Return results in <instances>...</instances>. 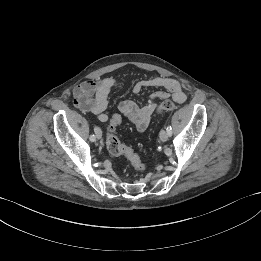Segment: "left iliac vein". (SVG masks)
Here are the masks:
<instances>
[{"label": "left iliac vein", "mask_w": 261, "mask_h": 261, "mask_svg": "<svg viewBox=\"0 0 261 261\" xmlns=\"http://www.w3.org/2000/svg\"><path fill=\"white\" fill-rule=\"evenodd\" d=\"M160 140L166 142L168 140V133L166 130H161L159 134Z\"/></svg>", "instance_id": "obj_1"}]
</instances>
